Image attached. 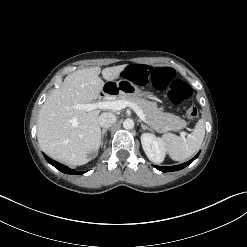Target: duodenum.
I'll use <instances>...</instances> for the list:
<instances>
[{"instance_id":"duodenum-1","label":"duodenum","mask_w":247,"mask_h":247,"mask_svg":"<svg viewBox=\"0 0 247 247\" xmlns=\"http://www.w3.org/2000/svg\"><path fill=\"white\" fill-rule=\"evenodd\" d=\"M118 92V88L115 85H106L102 91L101 96L104 97L110 94H116Z\"/></svg>"}]
</instances>
